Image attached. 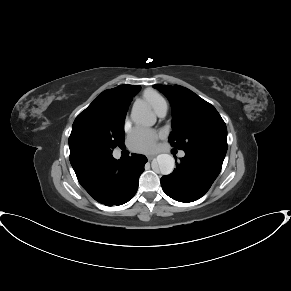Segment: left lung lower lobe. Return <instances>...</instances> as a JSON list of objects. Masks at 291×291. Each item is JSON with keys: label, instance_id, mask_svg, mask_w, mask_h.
I'll return each mask as SVG.
<instances>
[{"label": "left lung lower lobe", "instance_id": "obj_1", "mask_svg": "<svg viewBox=\"0 0 291 291\" xmlns=\"http://www.w3.org/2000/svg\"><path fill=\"white\" fill-rule=\"evenodd\" d=\"M177 169L161 178L163 191L180 202H193L211 187L221 171L226 153L205 149L184 150Z\"/></svg>", "mask_w": 291, "mask_h": 291}]
</instances>
